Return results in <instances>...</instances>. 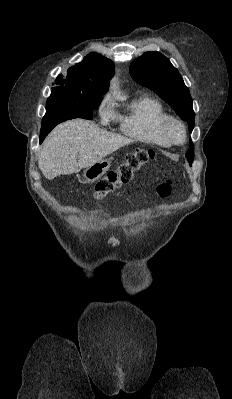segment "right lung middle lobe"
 <instances>
[{"mask_svg":"<svg viewBox=\"0 0 232 399\" xmlns=\"http://www.w3.org/2000/svg\"><path fill=\"white\" fill-rule=\"evenodd\" d=\"M104 94L67 93L56 87L47 99L46 107L57 108L74 114L92 113L100 104Z\"/></svg>","mask_w":232,"mask_h":399,"instance_id":"right-lung-middle-lobe-1","label":"right lung middle lobe"}]
</instances>
